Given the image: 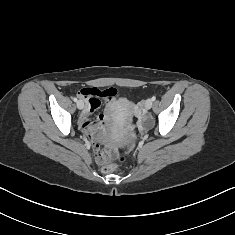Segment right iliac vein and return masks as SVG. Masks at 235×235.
Masks as SVG:
<instances>
[{"instance_id":"1","label":"right iliac vein","mask_w":235,"mask_h":235,"mask_svg":"<svg viewBox=\"0 0 235 235\" xmlns=\"http://www.w3.org/2000/svg\"><path fill=\"white\" fill-rule=\"evenodd\" d=\"M77 107H78V109H83V107H84V102H83L82 100H79V101L77 102Z\"/></svg>"}]
</instances>
